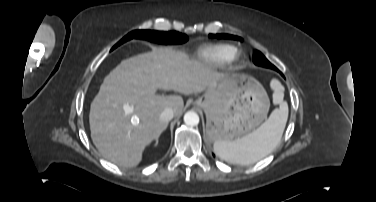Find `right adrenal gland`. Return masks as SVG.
I'll use <instances>...</instances> for the list:
<instances>
[{
  "label": "right adrenal gland",
  "instance_id": "1",
  "mask_svg": "<svg viewBox=\"0 0 376 202\" xmlns=\"http://www.w3.org/2000/svg\"><path fill=\"white\" fill-rule=\"evenodd\" d=\"M158 144V138L156 139V143H155V145H157Z\"/></svg>",
  "mask_w": 376,
  "mask_h": 202
}]
</instances>
